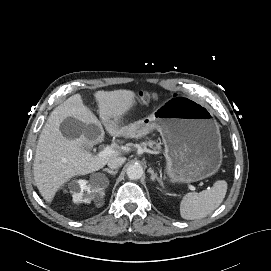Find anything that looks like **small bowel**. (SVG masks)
Listing matches in <instances>:
<instances>
[{
	"mask_svg": "<svg viewBox=\"0 0 271 271\" xmlns=\"http://www.w3.org/2000/svg\"><path fill=\"white\" fill-rule=\"evenodd\" d=\"M68 130L70 133H72L74 131L73 127H70Z\"/></svg>",
	"mask_w": 271,
	"mask_h": 271,
	"instance_id": "c3829d8e",
	"label": "small bowel"
}]
</instances>
